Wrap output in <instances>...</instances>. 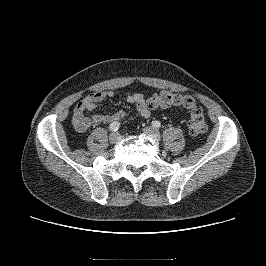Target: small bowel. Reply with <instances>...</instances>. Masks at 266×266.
Listing matches in <instances>:
<instances>
[{
    "mask_svg": "<svg viewBox=\"0 0 266 266\" xmlns=\"http://www.w3.org/2000/svg\"><path fill=\"white\" fill-rule=\"evenodd\" d=\"M115 92L113 90L96 91L88 94L81 99L74 108L72 123L76 131L85 132L92 126L102 123H110L122 121L126 117V113L122 110L113 114H98L94 113L88 116L87 112H92L97 109L98 105L107 98H113ZM126 101L136 107L138 113L148 118L151 115V108L148 107L147 101L140 93H135L126 97Z\"/></svg>",
    "mask_w": 266,
    "mask_h": 266,
    "instance_id": "c3829d8e",
    "label": "small bowel"
}]
</instances>
